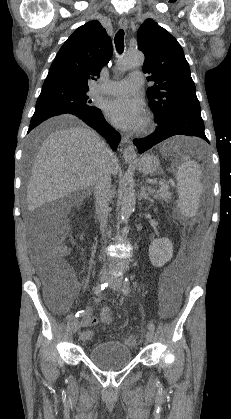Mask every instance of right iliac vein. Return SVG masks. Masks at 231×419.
<instances>
[{
    "mask_svg": "<svg viewBox=\"0 0 231 419\" xmlns=\"http://www.w3.org/2000/svg\"><path fill=\"white\" fill-rule=\"evenodd\" d=\"M109 278V270L104 269L100 275V282L103 283L105 281H107V279ZM80 327V321L79 319H75L72 323H71V330L73 333H76L78 331Z\"/></svg>",
    "mask_w": 231,
    "mask_h": 419,
    "instance_id": "1",
    "label": "right iliac vein"
}]
</instances>
